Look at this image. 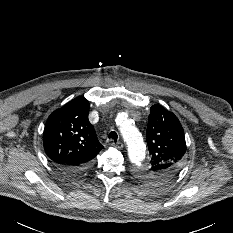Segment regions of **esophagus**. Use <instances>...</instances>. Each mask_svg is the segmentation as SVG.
I'll return each mask as SVG.
<instances>
[{"label": "esophagus", "mask_w": 233, "mask_h": 233, "mask_svg": "<svg viewBox=\"0 0 233 233\" xmlns=\"http://www.w3.org/2000/svg\"><path fill=\"white\" fill-rule=\"evenodd\" d=\"M114 147H116L117 149H122L123 148V143L122 142H116L112 144Z\"/></svg>", "instance_id": "esophagus-1"}]
</instances>
